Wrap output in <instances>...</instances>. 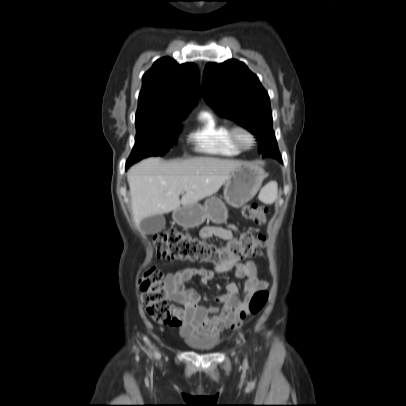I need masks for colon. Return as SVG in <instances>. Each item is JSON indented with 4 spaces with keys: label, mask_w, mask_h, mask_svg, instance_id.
<instances>
[{
    "label": "colon",
    "mask_w": 406,
    "mask_h": 406,
    "mask_svg": "<svg viewBox=\"0 0 406 406\" xmlns=\"http://www.w3.org/2000/svg\"><path fill=\"white\" fill-rule=\"evenodd\" d=\"M241 214L257 224H264L267 221V210L256 203L243 205ZM152 243L158 259L208 263L220 267L260 256L265 237L242 233L224 245L217 246L187 233L168 230L154 234ZM139 287L148 315L157 322L168 323L173 307L166 294L162 272L155 266L149 267L140 280ZM267 300V291L255 292L247 308L241 311L240 318H245L249 314H258Z\"/></svg>",
    "instance_id": "5ec220e1"
}]
</instances>
